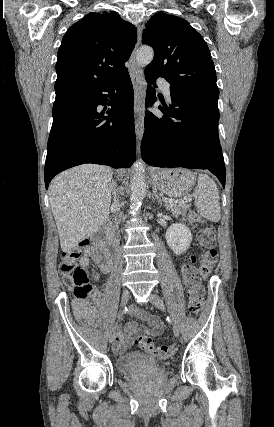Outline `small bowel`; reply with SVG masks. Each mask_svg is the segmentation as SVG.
Returning <instances> with one entry per match:
<instances>
[{"instance_id": "obj_1", "label": "small bowel", "mask_w": 274, "mask_h": 427, "mask_svg": "<svg viewBox=\"0 0 274 427\" xmlns=\"http://www.w3.org/2000/svg\"><path fill=\"white\" fill-rule=\"evenodd\" d=\"M209 254L212 257H217L220 254V251H209ZM93 261L99 272L102 274H107L110 272L112 267V259L109 251L101 246L98 242L86 247L84 249L83 256L79 261L81 267H87L90 262ZM202 268L199 272L201 277H209L210 271L214 270L216 264L214 261H204L202 263ZM100 273L94 276L95 280L100 278ZM73 311L76 318L85 320L87 323L92 324L96 318V311L94 306L88 302L75 300L73 302ZM137 317L142 319L143 323L138 325L134 321L127 323L125 331H117L113 336V348L116 353H123L129 349L137 340L139 335H150L158 336L163 331V323L158 316L155 315H140L137 313Z\"/></svg>"}]
</instances>
